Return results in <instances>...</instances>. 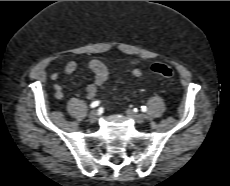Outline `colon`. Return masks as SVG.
<instances>
[{
  "label": "colon",
  "instance_id": "5ec220e1",
  "mask_svg": "<svg viewBox=\"0 0 230 186\" xmlns=\"http://www.w3.org/2000/svg\"><path fill=\"white\" fill-rule=\"evenodd\" d=\"M150 70L153 73L160 75L162 77H165V78H172L174 76L173 69L170 66L163 64V63L152 64L150 66Z\"/></svg>",
  "mask_w": 230,
  "mask_h": 186
}]
</instances>
